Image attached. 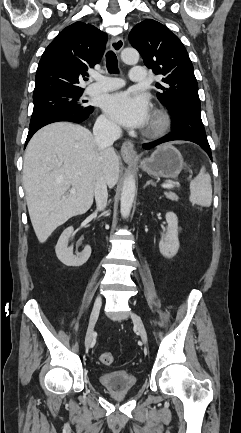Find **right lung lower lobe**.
<instances>
[{
	"label": "right lung lower lobe",
	"instance_id": "right-lung-lower-lobe-1",
	"mask_svg": "<svg viewBox=\"0 0 241 433\" xmlns=\"http://www.w3.org/2000/svg\"><path fill=\"white\" fill-rule=\"evenodd\" d=\"M93 112V107L91 108V110H89L86 113H80V114H74V113H61V114H56L53 115L39 123H37L36 125L32 126L29 128V132H28V136L26 139V143H25V147L28 143V141L31 139V137L33 136V134L39 130L40 128H42L43 126L53 123V122H58V121H69V122H75V123H81L82 121L86 120L89 115Z\"/></svg>",
	"mask_w": 241,
	"mask_h": 433
}]
</instances>
